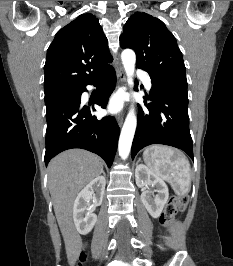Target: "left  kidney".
Returning a JSON list of instances; mask_svg holds the SVG:
<instances>
[{"label": "left kidney", "instance_id": "obj_1", "mask_svg": "<svg viewBox=\"0 0 233 266\" xmlns=\"http://www.w3.org/2000/svg\"><path fill=\"white\" fill-rule=\"evenodd\" d=\"M135 178L140 188L146 189L148 186L156 188L157 195L154 198L151 197L150 191L145 190L141 194V201L153 218L159 217L169 197L166 183L143 164L136 167Z\"/></svg>", "mask_w": 233, "mask_h": 266}]
</instances>
